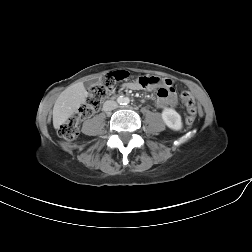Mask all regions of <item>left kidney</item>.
<instances>
[{
    "label": "left kidney",
    "instance_id": "left-kidney-1",
    "mask_svg": "<svg viewBox=\"0 0 252 252\" xmlns=\"http://www.w3.org/2000/svg\"><path fill=\"white\" fill-rule=\"evenodd\" d=\"M162 119L172 130H180L182 128L181 116L172 108H165L163 110Z\"/></svg>",
    "mask_w": 252,
    "mask_h": 252
}]
</instances>
